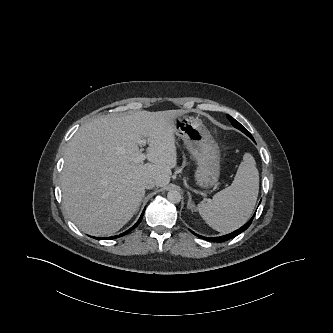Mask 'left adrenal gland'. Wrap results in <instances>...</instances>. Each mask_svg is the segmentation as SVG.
Segmentation results:
<instances>
[{
  "label": "left adrenal gland",
  "mask_w": 333,
  "mask_h": 333,
  "mask_svg": "<svg viewBox=\"0 0 333 333\" xmlns=\"http://www.w3.org/2000/svg\"><path fill=\"white\" fill-rule=\"evenodd\" d=\"M188 194V204H187V209H191L193 211V208H194V204L192 203V197H191V194L190 192H187Z\"/></svg>",
  "instance_id": "a2214340"
}]
</instances>
